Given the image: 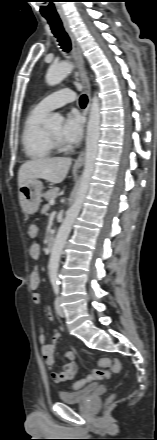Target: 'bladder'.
<instances>
[{
    "label": "bladder",
    "mask_w": 157,
    "mask_h": 440,
    "mask_svg": "<svg viewBox=\"0 0 157 440\" xmlns=\"http://www.w3.org/2000/svg\"><path fill=\"white\" fill-rule=\"evenodd\" d=\"M97 385H89L73 392L60 391L58 398L65 404H80L87 401L95 392Z\"/></svg>",
    "instance_id": "1"
}]
</instances>
